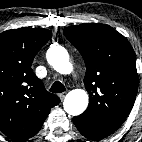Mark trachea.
<instances>
[{
  "instance_id": "trachea-1",
  "label": "trachea",
  "mask_w": 142,
  "mask_h": 142,
  "mask_svg": "<svg viewBox=\"0 0 142 142\" xmlns=\"http://www.w3.org/2000/svg\"><path fill=\"white\" fill-rule=\"evenodd\" d=\"M65 90H66L65 86L59 81L54 82L50 88V92L52 93H62Z\"/></svg>"
}]
</instances>
